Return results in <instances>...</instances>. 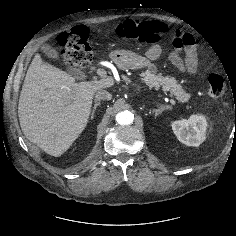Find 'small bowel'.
I'll return each mask as SVG.
<instances>
[{
    "label": "small bowel",
    "instance_id": "obj_1",
    "mask_svg": "<svg viewBox=\"0 0 236 236\" xmlns=\"http://www.w3.org/2000/svg\"><path fill=\"white\" fill-rule=\"evenodd\" d=\"M173 46L174 49L169 55L173 65L181 72L194 74L198 67L195 37L191 33L179 30L175 33ZM160 54L161 46L156 44L146 51L145 56L148 60L154 61Z\"/></svg>",
    "mask_w": 236,
    "mask_h": 236
}]
</instances>
